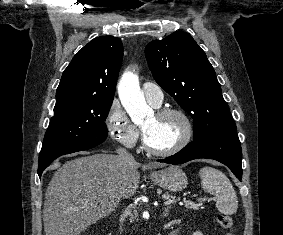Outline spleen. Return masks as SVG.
<instances>
[{"label": "spleen", "mask_w": 283, "mask_h": 235, "mask_svg": "<svg viewBox=\"0 0 283 235\" xmlns=\"http://www.w3.org/2000/svg\"><path fill=\"white\" fill-rule=\"evenodd\" d=\"M199 177L203 190L217 198L216 207L221 213L232 215L237 212L236 192L223 172L206 166L199 170Z\"/></svg>", "instance_id": "spleen-1"}]
</instances>
